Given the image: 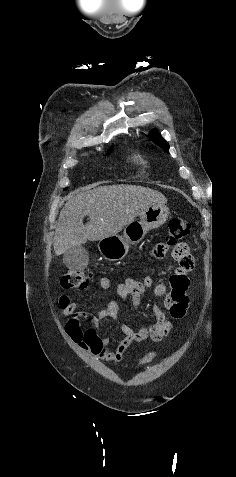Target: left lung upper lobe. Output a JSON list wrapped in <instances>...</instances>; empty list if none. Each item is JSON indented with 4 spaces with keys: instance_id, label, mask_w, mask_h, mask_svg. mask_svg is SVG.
Instances as JSON below:
<instances>
[{
    "instance_id": "left-lung-upper-lobe-1",
    "label": "left lung upper lobe",
    "mask_w": 236,
    "mask_h": 477,
    "mask_svg": "<svg viewBox=\"0 0 236 477\" xmlns=\"http://www.w3.org/2000/svg\"><path fill=\"white\" fill-rule=\"evenodd\" d=\"M149 137L151 141H153L156 145L160 146L161 148H163L165 151L168 152L169 144L161 137V135L156 130H153L149 134Z\"/></svg>"
}]
</instances>
